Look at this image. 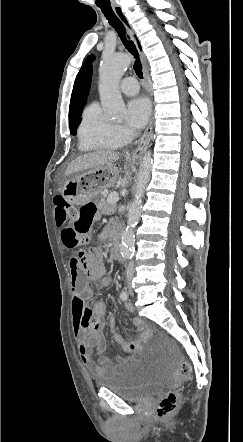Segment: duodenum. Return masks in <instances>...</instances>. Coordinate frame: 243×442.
Returning <instances> with one entry per match:
<instances>
[{"label": "duodenum", "mask_w": 243, "mask_h": 442, "mask_svg": "<svg viewBox=\"0 0 243 442\" xmlns=\"http://www.w3.org/2000/svg\"><path fill=\"white\" fill-rule=\"evenodd\" d=\"M122 249H123V247H122V243H121L120 234L118 232H116L114 234V251L119 258H121Z\"/></svg>", "instance_id": "1"}]
</instances>
